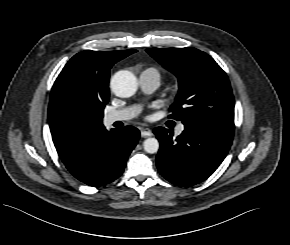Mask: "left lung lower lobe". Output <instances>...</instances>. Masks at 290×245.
Listing matches in <instances>:
<instances>
[{"label":"left lung lower lobe","instance_id":"left-lung-lower-lobe-1","mask_svg":"<svg viewBox=\"0 0 290 245\" xmlns=\"http://www.w3.org/2000/svg\"><path fill=\"white\" fill-rule=\"evenodd\" d=\"M175 141L172 132L154 129L160 142L156 165L171 183L190 187L207 179L222 163L232 144L233 135L200 122L185 123Z\"/></svg>","mask_w":290,"mask_h":245}]
</instances>
